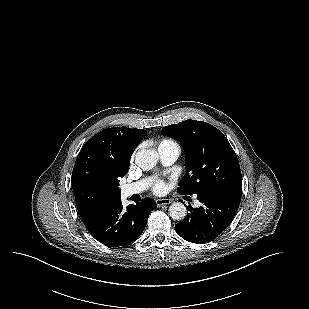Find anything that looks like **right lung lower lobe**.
Masks as SVG:
<instances>
[{
	"mask_svg": "<svg viewBox=\"0 0 309 309\" xmlns=\"http://www.w3.org/2000/svg\"><path fill=\"white\" fill-rule=\"evenodd\" d=\"M156 207L154 200L145 198L124 209L120 199L104 207L84 224L102 244L109 247L126 246L142 234L150 212Z\"/></svg>",
	"mask_w": 309,
	"mask_h": 309,
	"instance_id": "obj_1",
	"label": "right lung lower lobe"
}]
</instances>
